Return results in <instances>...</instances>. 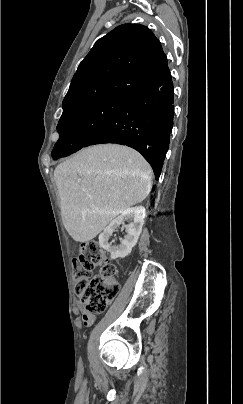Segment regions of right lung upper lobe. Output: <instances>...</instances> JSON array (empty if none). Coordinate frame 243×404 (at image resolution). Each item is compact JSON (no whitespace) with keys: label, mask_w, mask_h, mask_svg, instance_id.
Masks as SVG:
<instances>
[{"label":"right lung upper lobe","mask_w":243,"mask_h":404,"mask_svg":"<svg viewBox=\"0 0 243 404\" xmlns=\"http://www.w3.org/2000/svg\"><path fill=\"white\" fill-rule=\"evenodd\" d=\"M170 76L152 31L123 24L100 38L80 63L63 100V113L91 101L128 99L161 86Z\"/></svg>","instance_id":"right-lung-upper-lobe-1"}]
</instances>
